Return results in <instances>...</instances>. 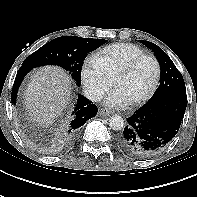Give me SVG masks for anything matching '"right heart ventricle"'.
<instances>
[{
	"instance_id": "obj_1",
	"label": "right heart ventricle",
	"mask_w": 197,
	"mask_h": 197,
	"mask_svg": "<svg viewBox=\"0 0 197 197\" xmlns=\"http://www.w3.org/2000/svg\"><path fill=\"white\" fill-rule=\"evenodd\" d=\"M144 54V50L136 45L118 43L103 48L92 58L110 77L114 78L121 68Z\"/></svg>"
}]
</instances>
